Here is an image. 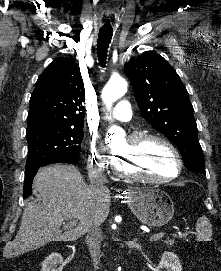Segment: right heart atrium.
Here are the masks:
<instances>
[{
    "mask_svg": "<svg viewBox=\"0 0 221 271\" xmlns=\"http://www.w3.org/2000/svg\"><path fill=\"white\" fill-rule=\"evenodd\" d=\"M91 154L92 159H107L109 157L107 154H96L94 151ZM105 165L104 162H93V167H104Z\"/></svg>",
    "mask_w": 221,
    "mask_h": 271,
    "instance_id": "d8ad5b80",
    "label": "right heart atrium"
}]
</instances>
